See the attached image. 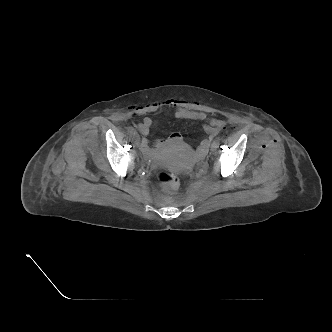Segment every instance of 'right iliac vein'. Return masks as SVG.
Here are the masks:
<instances>
[{
    "label": "right iliac vein",
    "instance_id": "right-iliac-vein-1",
    "mask_svg": "<svg viewBox=\"0 0 332 332\" xmlns=\"http://www.w3.org/2000/svg\"><path fill=\"white\" fill-rule=\"evenodd\" d=\"M133 137H134V139L136 140V142L139 143V139H140V138H139V135H138L137 132H134V133H133Z\"/></svg>",
    "mask_w": 332,
    "mask_h": 332
}]
</instances>
